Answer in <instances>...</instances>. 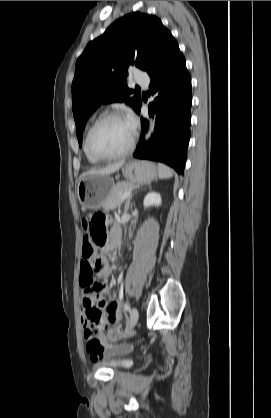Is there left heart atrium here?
I'll list each match as a JSON object with an SVG mask.
<instances>
[{"instance_id": "left-heart-atrium-1", "label": "left heart atrium", "mask_w": 271, "mask_h": 418, "mask_svg": "<svg viewBox=\"0 0 271 418\" xmlns=\"http://www.w3.org/2000/svg\"><path fill=\"white\" fill-rule=\"evenodd\" d=\"M125 120H126V122H127L128 126H129V128H130L132 131H134V130H135V128H136V126H137V120H136V117H135L132 113H129V114L126 116Z\"/></svg>"}]
</instances>
